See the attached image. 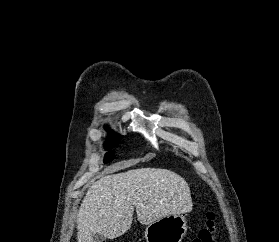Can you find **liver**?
<instances>
[{
  "label": "liver",
  "mask_w": 279,
  "mask_h": 242,
  "mask_svg": "<svg viewBox=\"0 0 279 242\" xmlns=\"http://www.w3.org/2000/svg\"><path fill=\"white\" fill-rule=\"evenodd\" d=\"M193 203L188 183L167 169L141 168L101 177L92 184L77 214L78 242L93 235L114 239L127 232L134 208L143 225L187 213Z\"/></svg>",
  "instance_id": "liver-1"
}]
</instances>
